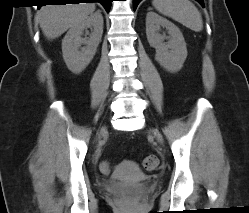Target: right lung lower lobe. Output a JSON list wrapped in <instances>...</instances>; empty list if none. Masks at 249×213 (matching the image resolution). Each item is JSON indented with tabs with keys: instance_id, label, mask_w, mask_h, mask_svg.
<instances>
[{
	"instance_id": "right-lung-lower-lobe-1",
	"label": "right lung lower lobe",
	"mask_w": 249,
	"mask_h": 213,
	"mask_svg": "<svg viewBox=\"0 0 249 213\" xmlns=\"http://www.w3.org/2000/svg\"><path fill=\"white\" fill-rule=\"evenodd\" d=\"M82 1H90L91 3L93 2H100L106 9L107 12H109L111 2L112 0H46V2H51L55 4H66V3H80ZM41 7V6H39Z\"/></svg>"
}]
</instances>
